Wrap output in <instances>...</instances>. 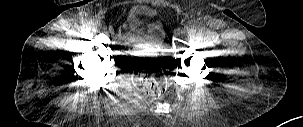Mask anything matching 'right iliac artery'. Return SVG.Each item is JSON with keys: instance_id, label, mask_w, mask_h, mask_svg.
I'll return each instance as SVG.
<instances>
[{"instance_id": "1", "label": "right iliac artery", "mask_w": 303, "mask_h": 127, "mask_svg": "<svg viewBox=\"0 0 303 127\" xmlns=\"http://www.w3.org/2000/svg\"><path fill=\"white\" fill-rule=\"evenodd\" d=\"M89 24L92 25V26H96L98 24V21L97 20H90Z\"/></svg>"}]
</instances>
